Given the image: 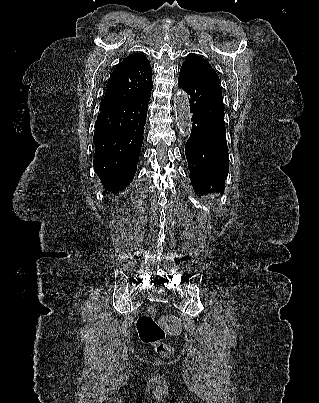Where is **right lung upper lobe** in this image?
Here are the masks:
<instances>
[{
    "label": "right lung upper lobe",
    "mask_w": 319,
    "mask_h": 403,
    "mask_svg": "<svg viewBox=\"0 0 319 403\" xmlns=\"http://www.w3.org/2000/svg\"><path fill=\"white\" fill-rule=\"evenodd\" d=\"M152 91V69L143 53H133L119 63L110 77L101 110L139 100Z\"/></svg>",
    "instance_id": "1"
}]
</instances>
